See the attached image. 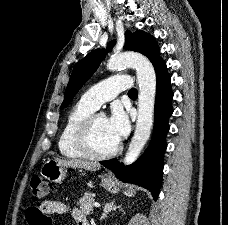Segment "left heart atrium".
<instances>
[{
  "mask_svg": "<svg viewBox=\"0 0 228 225\" xmlns=\"http://www.w3.org/2000/svg\"><path fill=\"white\" fill-rule=\"evenodd\" d=\"M130 129L127 114L120 107H114L111 115L107 118V130L109 135L116 141L120 142L127 136Z\"/></svg>",
  "mask_w": 228,
  "mask_h": 225,
  "instance_id": "39dd6f15",
  "label": "left heart atrium"
}]
</instances>
